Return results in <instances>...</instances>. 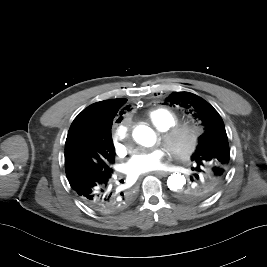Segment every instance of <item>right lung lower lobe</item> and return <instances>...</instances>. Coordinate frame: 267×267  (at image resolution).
<instances>
[{
	"mask_svg": "<svg viewBox=\"0 0 267 267\" xmlns=\"http://www.w3.org/2000/svg\"><path fill=\"white\" fill-rule=\"evenodd\" d=\"M114 171L106 173L90 171L69 181L71 188L90 208L101 213H117L127 208L134 200L133 191L114 187Z\"/></svg>",
	"mask_w": 267,
	"mask_h": 267,
	"instance_id": "1",
	"label": "right lung lower lobe"
}]
</instances>
